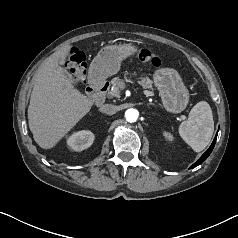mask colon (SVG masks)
Wrapping results in <instances>:
<instances>
[{
  "instance_id": "obj_1",
  "label": "colon",
  "mask_w": 238,
  "mask_h": 238,
  "mask_svg": "<svg viewBox=\"0 0 238 238\" xmlns=\"http://www.w3.org/2000/svg\"><path fill=\"white\" fill-rule=\"evenodd\" d=\"M139 59L143 62H148L154 67H160L162 64L161 58L148 49H142L139 53ZM67 66L72 72L76 81L84 80L87 70L85 56L80 51H72L67 57Z\"/></svg>"
}]
</instances>
